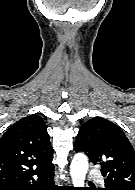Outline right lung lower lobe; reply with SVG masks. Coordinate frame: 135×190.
I'll list each match as a JSON object with an SVG mask.
<instances>
[{
	"mask_svg": "<svg viewBox=\"0 0 135 190\" xmlns=\"http://www.w3.org/2000/svg\"><path fill=\"white\" fill-rule=\"evenodd\" d=\"M33 176H37L38 181H35ZM53 176V166L48 167L46 170L1 174L0 190H59L53 183Z\"/></svg>",
	"mask_w": 135,
	"mask_h": 190,
	"instance_id": "1",
	"label": "right lung lower lobe"
}]
</instances>
